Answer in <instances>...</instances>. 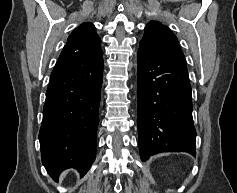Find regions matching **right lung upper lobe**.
<instances>
[{
	"label": "right lung upper lobe",
	"instance_id": "cb5924a9",
	"mask_svg": "<svg viewBox=\"0 0 237 193\" xmlns=\"http://www.w3.org/2000/svg\"><path fill=\"white\" fill-rule=\"evenodd\" d=\"M100 44L94 25L85 22L70 34L62 51L81 57L96 56L103 53Z\"/></svg>",
	"mask_w": 237,
	"mask_h": 193
}]
</instances>
